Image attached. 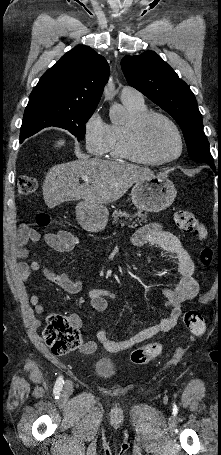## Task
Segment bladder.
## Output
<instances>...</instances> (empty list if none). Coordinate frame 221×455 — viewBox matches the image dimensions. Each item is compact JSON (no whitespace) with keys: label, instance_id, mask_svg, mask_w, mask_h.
Listing matches in <instances>:
<instances>
[{"label":"bladder","instance_id":"31cf9c89","mask_svg":"<svg viewBox=\"0 0 221 455\" xmlns=\"http://www.w3.org/2000/svg\"><path fill=\"white\" fill-rule=\"evenodd\" d=\"M94 371L97 375L108 378L116 372V366L113 361L101 358L96 360Z\"/></svg>","mask_w":221,"mask_h":455}]
</instances>
